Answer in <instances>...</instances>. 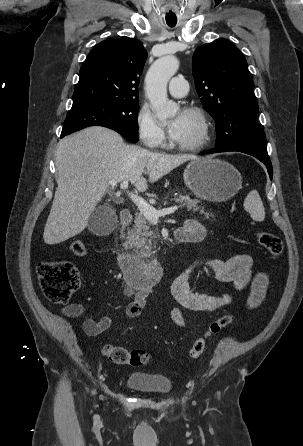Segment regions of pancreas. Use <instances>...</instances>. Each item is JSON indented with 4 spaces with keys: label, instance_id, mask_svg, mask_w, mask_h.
<instances>
[{
    "label": "pancreas",
    "instance_id": "1",
    "mask_svg": "<svg viewBox=\"0 0 303 446\" xmlns=\"http://www.w3.org/2000/svg\"><path fill=\"white\" fill-rule=\"evenodd\" d=\"M35 6L36 4H30V7ZM174 201L181 206H185L188 211L192 210L195 212L200 209V207L197 206L199 201L191 199L189 195L180 194L178 197L174 198ZM200 213H203V208L200 210ZM154 238H156V235L155 232L150 229L148 220L142 214H137L133 228L127 230V237L123 246L126 250L132 249L139 258H148L153 253L152 249L155 243Z\"/></svg>",
    "mask_w": 303,
    "mask_h": 446
}]
</instances>
